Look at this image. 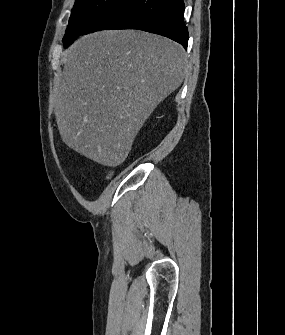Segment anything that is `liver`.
<instances>
[{"mask_svg":"<svg viewBox=\"0 0 285 335\" xmlns=\"http://www.w3.org/2000/svg\"><path fill=\"white\" fill-rule=\"evenodd\" d=\"M66 56L54 100L62 142L110 168L125 162L140 128L189 70L182 46L136 30L82 36Z\"/></svg>","mask_w":285,"mask_h":335,"instance_id":"6515ba94","label":"liver"}]
</instances>
